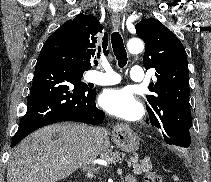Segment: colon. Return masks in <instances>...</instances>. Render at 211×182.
Masks as SVG:
<instances>
[{
	"instance_id": "colon-1",
	"label": "colon",
	"mask_w": 211,
	"mask_h": 182,
	"mask_svg": "<svg viewBox=\"0 0 211 182\" xmlns=\"http://www.w3.org/2000/svg\"><path fill=\"white\" fill-rule=\"evenodd\" d=\"M146 182H163L161 176L157 172H149L145 177Z\"/></svg>"
}]
</instances>
